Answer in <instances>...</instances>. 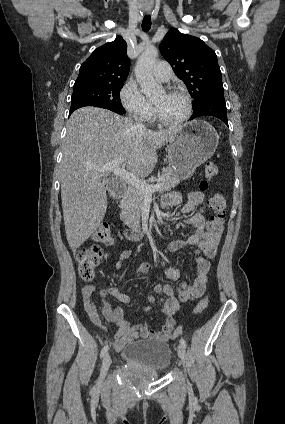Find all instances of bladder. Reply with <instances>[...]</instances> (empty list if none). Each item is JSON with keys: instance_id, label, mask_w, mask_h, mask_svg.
Instances as JSON below:
<instances>
[{"instance_id": "bladder-1", "label": "bladder", "mask_w": 285, "mask_h": 424, "mask_svg": "<svg viewBox=\"0 0 285 424\" xmlns=\"http://www.w3.org/2000/svg\"><path fill=\"white\" fill-rule=\"evenodd\" d=\"M122 358L126 365L135 366L156 377L169 367L172 350L168 343L160 340H138L122 349Z\"/></svg>"}]
</instances>
